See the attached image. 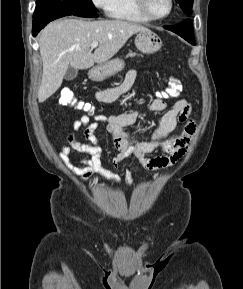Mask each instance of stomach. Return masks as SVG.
Segmentation results:
<instances>
[{"label": "stomach", "instance_id": "obj_1", "mask_svg": "<svg viewBox=\"0 0 243 289\" xmlns=\"http://www.w3.org/2000/svg\"><path fill=\"white\" fill-rule=\"evenodd\" d=\"M135 45L139 51L151 54L158 51L162 46L159 36L153 31L146 29L136 34ZM124 68V61L119 58L112 59L93 67L88 75L94 81H102L111 77Z\"/></svg>", "mask_w": 243, "mask_h": 289}]
</instances>
